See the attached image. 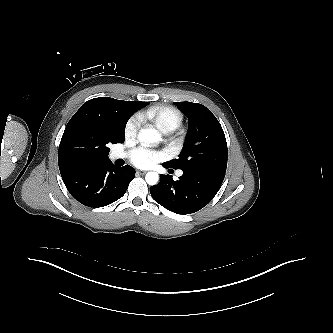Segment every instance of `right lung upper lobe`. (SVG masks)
Listing matches in <instances>:
<instances>
[{
  "label": "right lung upper lobe",
  "mask_w": 333,
  "mask_h": 333,
  "mask_svg": "<svg viewBox=\"0 0 333 333\" xmlns=\"http://www.w3.org/2000/svg\"><path fill=\"white\" fill-rule=\"evenodd\" d=\"M146 103L109 97L84 103L68 122L61 138L58 164L62 179L84 164L110 160L108 146L123 134L118 117L125 111L134 113Z\"/></svg>",
  "instance_id": "obj_1"
}]
</instances>
